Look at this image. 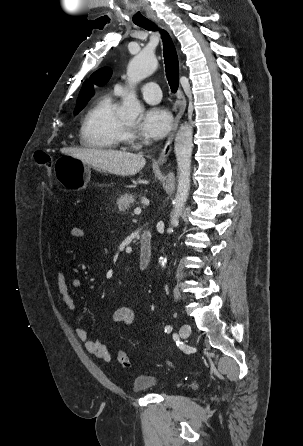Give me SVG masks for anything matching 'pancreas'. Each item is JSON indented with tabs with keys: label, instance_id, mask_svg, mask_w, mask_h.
<instances>
[{
	"label": "pancreas",
	"instance_id": "cf45deb5",
	"mask_svg": "<svg viewBox=\"0 0 303 446\" xmlns=\"http://www.w3.org/2000/svg\"><path fill=\"white\" fill-rule=\"evenodd\" d=\"M134 203L135 197L129 193L120 196L116 202L118 209L123 213H126L134 205Z\"/></svg>",
	"mask_w": 303,
	"mask_h": 446
}]
</instances>
